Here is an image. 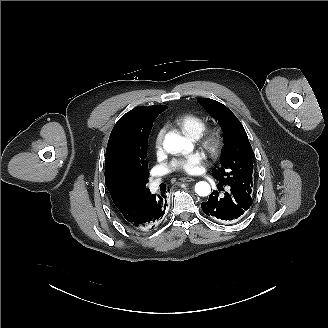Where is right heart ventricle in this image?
I'll return each mask as SVG.
<instances>
[{"label": "right heart ventricle", "instance_id": "e07e8e85", "mask_svg": "<svg viewBox=\"0 0 328 328\" xmlns=\"http://www.w3.org/2000/svg\"><path fill=\"white\" fill-rule=\"evenodd\" d=\"M176 125L187 137H198L204 130L207 119L196 114H188L178 117L175 120Z\"/></svg>", "mask_w": 328, "mask_h": 328}]
</instances>
